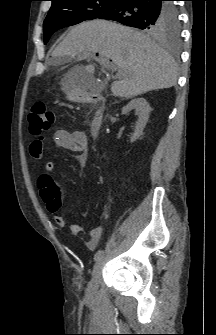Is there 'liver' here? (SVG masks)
Segmentation results:
<instances>
[{
    "label": "liver",
    "mask_w": 216,
    "mask_h": 335,
    "mask_svg": "<svg viewBox=\"0 0 216 335\" xmlns=\"http://www.w3.org/2000/svg\"><path fill=\"white\" fill-rule=\"evenodd\" d=\"M96 53L111 59L118 69L117 80L111 84L115 97L129 99L176 85L177 65L166 50L139 31L106 20L75 26L51 55L58 63ZM93 72L92 64L71 69L62 80L67 83L63 91L81 87Z\"/></svg>",
    "instance_id": "obj_1"
}]
</instances>
